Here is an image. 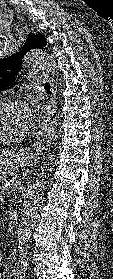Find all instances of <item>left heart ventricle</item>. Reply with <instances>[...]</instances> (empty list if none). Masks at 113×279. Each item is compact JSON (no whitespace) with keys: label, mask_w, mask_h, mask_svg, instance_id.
I'll return each mask as SVG.
<instances>
[{"label":"left heart ventricle","mask_w":113,"mask_h":279,"mask_svg":"<svg viewBox=\"0 0 113 279\" xmlns=\"http://www.w3.org/2000/svg\"><path fill=\"white\" fill-rule=\"evenodd\" d=\"M28 131L23 106H0V136L16 137Z\"/></svg>","instance_id":"b2bd125f"}]
</instances>
